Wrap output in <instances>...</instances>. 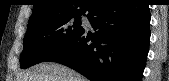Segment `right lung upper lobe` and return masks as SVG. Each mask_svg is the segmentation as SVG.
Listing matches in <instances>:
<instances>
[{
	"instance_id": "right-lung-upper-lobe-1",
	"label": "right lung upper lobe",
	"mask_w": 169,
	"mask_h": 81,
	"mask_svg": "<svg viewBox=\"0 0 169 81\" xmlns=\"http://www.w3.org/2000/svg\"><path fill=\"white\" fill-rule=\"evenodd\" d=\"M95 5V0H34L28 24L51 17L83 15Z\"/></svg>"
}]
</instances>
